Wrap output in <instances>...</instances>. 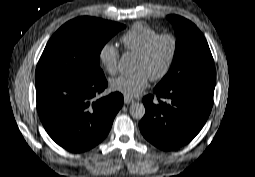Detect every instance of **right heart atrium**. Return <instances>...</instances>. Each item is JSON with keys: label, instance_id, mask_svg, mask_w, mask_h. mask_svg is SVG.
<instances>
[{"label": "right heart atrium", "instance_id": "right-heart-atrium-1", "mask_svg": "<svg viewBox=\"0 0 255 177\" xmlns=\"http://www.w3.org/2000/svg\"><path fill=\"white\" fill-rule=\"evenodd\" d=\"M98 57L107 73L114 75L117 72L119 50L114 44L110 42L103 44L99 49Z\"/></svg>", "mask_w": 255, "mask_h": 177}]
</instances>
